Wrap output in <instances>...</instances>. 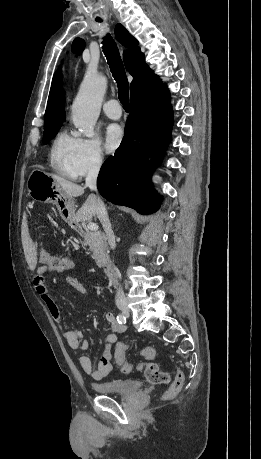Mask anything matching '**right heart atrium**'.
I'll use <instances>...</instances> for the list:
<instances>
[{"instance_id":"obj_1","label":"right heart atrium","mask_w":261,"mask_h":459,"mask_svg":"<svg viewBox=\"0 0 261 459\" xmlns=\"http://www.w3.org/2000/svg\"><path fill=\"white\" fill-rule=\"evenodd\" d=\"M104 163V154L98 140L93 138H76V149L73 158V170L76 177L98 171Z\"/></svg>"}]
</instances>
